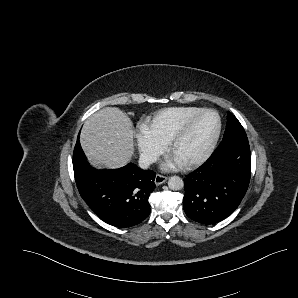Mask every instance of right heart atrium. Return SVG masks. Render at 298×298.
<instances>
[{
	"mask_svg": "<svg viewBox=\"0 0 298 298\" xmlns=\"http://www.w3.org/2000/svg\"><path fill=\"white\" fill-rule=\"evenodd\" d=\"M136 139L140 157L145 163L153 162L167 147L161 134L149 125H142L137 129Z\"/></svg>",
	"mask_w": 298,
	"mask_h": 298,
	"instance_id": "right-heart-atrium-1",
	"label": "right heart atrium"
}]
</instances>
